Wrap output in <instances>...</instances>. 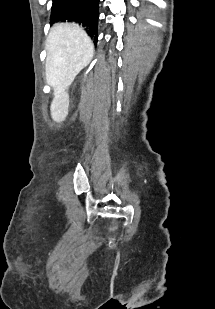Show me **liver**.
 <instances>
[{
  "label": "liver",
  "mask_w": 215,
  "mask_h": 309,
  "mask_svg": "<svg viewBox=\"0 0 215 309\" xmlns=\"http://www.w3.org/2000/svg\"><path fill=\"white\" fill-rule=\"evenodd\" d=\"M46 76L54 88L51 114L54 120H63L68 114V106L58 108L57 102L76 74L91 62L94 44L76 22H56L50 28L47 42Z\"/></svg>",
  "instance_id": "liver-1"
}]
</instances>
